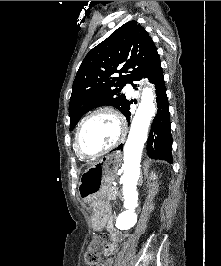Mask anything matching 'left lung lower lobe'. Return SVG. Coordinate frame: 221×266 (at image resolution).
Here are the masks:
<instances>
[{
  "label": "left lung lower lobe",
  "mask_w": 221,
  "mask_h": 266,
  "mask_svg": "<svg viewBox=\"0 0 221 266\" xmlns=\"http://www.w3.org/2000/svg\"><path fill=\"white\" fill-rule=\"evenodd\" d=\"M145 78H148L151 83L155 85L156 89V102H157V114L151 125L149 138L147 142V152L150 157L155 159L166 160L172 163V135L169 115V105L166 95V87L164 82L163 71L161 68V62L156 65ZM141 79V78H140ZM139 79V80H140ZM138 81V80H137ZM135 90L136 85L132 84ZM132 101H128L127 106L123 112L128 123L130 122V104ZM123 145L117 147L118 150H122Z\"/></svg>",
  "instance_id": "left-lung-lower-lobe-1"
}]
</instances>
